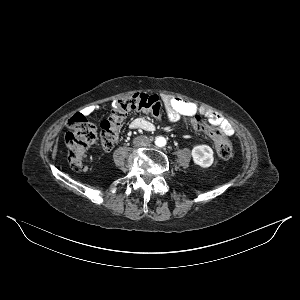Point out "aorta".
<instances>
[{"label": "aorta", "instance_id": "762f6f07", "mask_svg": "<svg viewBox=\"0 0 300 300\" xmlns=\"http://www.w3.org/2000/svg\"><path fill=\"white\" fill-rule=\"evenodd\" d=\"M167 141L163 136H158L155 139V145L158 147H164L166 145Z\"/></svg>", "mask_w": 300, "mask_h": 300}]
</instances>
